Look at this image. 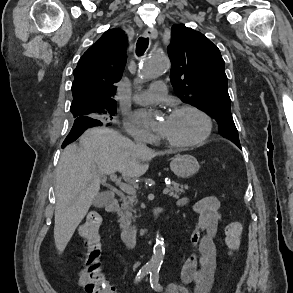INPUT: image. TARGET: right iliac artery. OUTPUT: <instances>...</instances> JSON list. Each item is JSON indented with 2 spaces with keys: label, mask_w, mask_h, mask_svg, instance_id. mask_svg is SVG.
<instances>
[{
  "label": "right iliac artery",
  "mask_w": 293,
  "mask_h": 293,
  "mask_svg": "<svg viewBox=\"0 0 293 293\" xmlns=\"http://www.w3.org/2000/svg\"><path fill=\"white\" fill-rule=\"evenodd\" d=\"M151 272V268L149 267H143L139 270L137 273V276L135 278V282L138 283L145 275Z\"/></svg>",
  "instance_id": "82829eb1"
}]
</instances>
